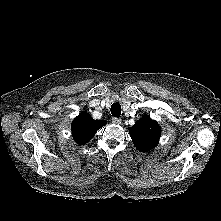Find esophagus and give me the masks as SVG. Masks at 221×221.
Instances as JSON below:
<instances>
[{
	"label": "esophagus",
	"instance_id": "esophagus-1",
	"mask_svg": "<svg viewBox=\"0 0 221 221\" xmlns=\"http://www.w3.org/2000/svg\"><path fill=\"white\" fill-rule=\"evenodd\" d=\"M121 122H122V120L120 118H116V117L112 118V123H114V124L119 125V124H121Z\"/></svg>",
	"mask_w": 221,
	"mask_h": 221
}]
</instances>
